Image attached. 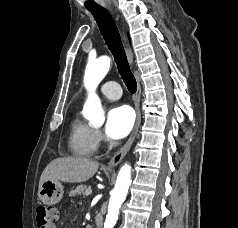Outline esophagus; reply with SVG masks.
I'll return each instance as SVG.
<instances>
[{"mask_svg": "<svg viewBox=\"0 0 238 228\" xmlns=\"http://www.w3.org/2000/svg\"><path fill=\"white\" fill-rule=\"evenodd\" d=\"M124 39V46H125V50H126V54L128 57V61L130 63V65H133V52L132 49L130 48L128 42L126 41L125 38ZM140 97H141V85L140 82L137 80V90L136 93L134 95V106H135V110H136V122L135 125L133 127V130L131 132V135L129 137V139L127 140V142L125 143V145L118 150L115 155L110 159V161L107 164V167L109 168H113L115 166H117L122 159L124 158V156L126 155V153L128 152V150L130 149L140 126L141 123V112H140Z\"/></svg>", "mask_w": 238, "mask_h": 228, "instance_id": "1", "label": "esophagus"}]
</instances>
